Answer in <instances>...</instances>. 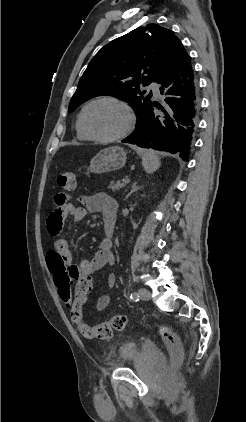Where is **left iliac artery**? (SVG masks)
Wrapping results in <instances>:
<instances>
[{
    "mask_svg": "<svg viewBox=\"0 0 246 422\" xmlns=\"http://www.w3.org/2000/svg\"><path fill=\"white\" fill-rule=\"evenodd\" d=\"M130 298L133 300V301H138L139 300V295L137 294V293H131L130 294Z\"/></svg>",
    "mask_w": 246,
    "mask_h": 422,
    "instance_id": "44dca946",
    "label": "left iliac artery"
}]
</instances>
